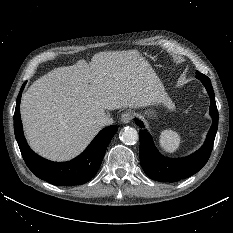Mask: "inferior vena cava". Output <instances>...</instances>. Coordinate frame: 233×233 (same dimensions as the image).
I'll use <instances>...</instances> for the list:
<instances>
[{
  "label": "inferior vena cava",
  "instance_id": "inferior-vena-cava-1",
  "mask_svg": "<svg viewBox=\"0 0 233 233\" xmlns=\"http://www.w3.org/2000/svg\"><path fill=\"white\" fill-rule=\"evenodd\" d=\"M97 124L101 127L108 126L113 124V119L110 117L109 114H104L98 118Z\"/></svg>",
  "mask_w": 233,
  "mask_h": 233
}]
</instances>
